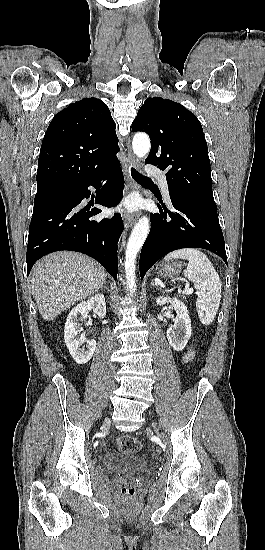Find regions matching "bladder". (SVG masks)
Segmentation results:
<instances>
[{
    "mask_svg": "<svg viewBox=\"0 0 265 550\" xmlns=\"http://www.w3.org/2000/svg\"><path fill=\"white\" fill-rule=\"evenodd\" d=\"M102 465L105 470L111 472H140L147 468L148 460L145 454L118 450L108 452L102 461Z\"/></svg>",
    "mask_w": 265,
    "mask_h": 550,
    "instance_id": "1",
    "label": "bladder"
}]
</instances>
